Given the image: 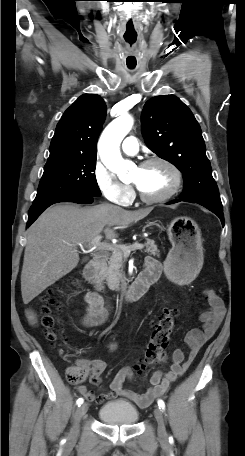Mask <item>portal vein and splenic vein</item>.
<instances>
[{"mask_svg": "<svg viewBox=\"0 0 245 456\" xmlns=\"http://www.w3.org/2000/svg\"><path fill=\"white\" fill-rule=\"evenodd\" d=\"M101 239H102L101 235L96 236L90 242V244H88V246H87L88 247V251H93V250H96V251H112V252L116 251V247L114 245L108 244V243H103V242H101ZM78 245L81 248H83L82 244H78ZM120 247L124 251L125 255L128 256L131 251L142 250L144 248V245L140 244V243H135V244H133L131 246H120Z\"/></svg>", "mask_w": 245, "mask_h": 456, "instance_id": "18ae733b", "label": "portal vein and splenic vein"}]
</instances>
